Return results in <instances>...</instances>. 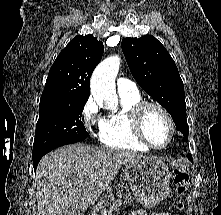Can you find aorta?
<instances>
[{"mask_svg":"<svg viewBox=\"0 0 221 215\" xmlns=\"http://www.w3.org/2000/svg\"><path fill=\"white\" fill-rule=\"evenodd\" d=\"M119 67L120 58L118 56L105 59L94 70L90 82L94 99L111 111H116L118 105L115 78Z\"/></svg>","mask_w":221,"mask_h":215,"instance_id":"aorta-1","label":"aorta"}]
</instances>
